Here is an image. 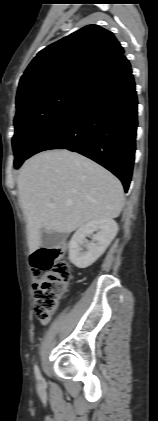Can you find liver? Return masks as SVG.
Masks as SVG:
<instances>
[{
    "label": "liver",
    "instance_id": "1",
    "mask_svg": "<svg viewBox=\"0 0 158 421\" xmlns=\"http://www.w3.org/2000/svg\"><path fill=\"white\" fill-rule=\"evenodd\" d=\"M17 185L30 252L42 246V229L70 233L92 220L118 217L124 205L122 184L113 174L68 150L44 151L28 159Z\"/></svg>",
    "mask_w": 158,
    "mask_h": 421
}]
</instances>
